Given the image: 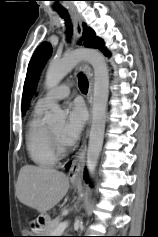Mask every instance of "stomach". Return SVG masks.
Returning a JSON list of instances; mask_svg holds the SVG:
<instances>
[{"instance_id": "0dacf381", "label": "stomach", "mask_w": 158, "mask_h": 237, "mask_svg": "<svg viewBox=\"0 0 158 237\" xmlns=\"http://www.w3.org/2000/svg\"><path fill=\"white\" fill-rule=\"evenodd\" d=\"M73 185H76L75 181H72ZM37 231H34V236H43L44 231H43V226L40 228H36Z\"/></svg>"}]
</instances>
